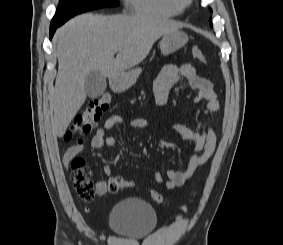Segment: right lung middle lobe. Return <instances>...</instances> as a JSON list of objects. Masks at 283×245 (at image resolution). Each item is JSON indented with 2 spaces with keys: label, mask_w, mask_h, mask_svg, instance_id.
I'll return each mask as SVG.
<instances>
[{
  "label": "right lung middle lobe",
  "mask_w": 283,
  "mask_h": 245,
  "mask_svg": "<svg viewBox=\"0 0 283 245\" xmlns=\"http://www.w3.org/2000/svg\"><path fill=\"white\" fill-rule=\"evenodd\" d=\"M118 4V0H60L51 24H63L77 14L103 7H115Z\"/></svg>",
  "instance_id": "dd1d6c3e"
}]
</instances>
